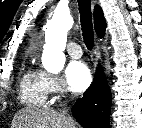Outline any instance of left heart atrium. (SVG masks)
I'll list each match as a JSON object with an SVG mask.
<instances>
[{
	"label": "left heart atrium",
	"instance_id": "left-heart-atrium-1",
	"mask_svg": "<svg viewBox=\"0 0 142 128\" xmlns=\"http://www.w3.org/2000/svg\"><path fill=\"white\" fill-rule=\"evenodd\" d=\"M65 83L75 93L88 88L91 83V74L88 67L81 61H72L65 70Z\"/></svg>",
	"mask_w": 142,
	"mask_h": 128
}]
</instances>
